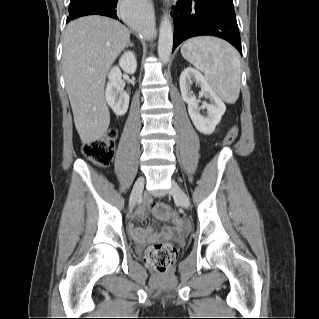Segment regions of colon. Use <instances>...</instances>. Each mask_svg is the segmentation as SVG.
Returning <instances> with one entry per match:
<instances>
[{
    "instance_id": "1",
    "label": "colon",
    "mask_w": 319,
    "mask_h": 319,
    "mask_svg": "<svg viewBox=\"0 0 319 319\" xmlns=\"http://www.w3.org/2000/svg\"><path fill=\"white\" fill-rule=\"evenodd\" d=\"M238 134V128L233 126L226 134L223 145L229 146L234 142ZM116 132L107 131L98 140L85 143L82 147V153L85 157L91 159L100 166H106L111 163L115 148ZM153 215L158 220H173L176 214L167 204H155L152 209ZM177 257V249L170 243H156L145 250L144 262L154 269L159 275H165Z\"/></svg>"
}]
</instances>
